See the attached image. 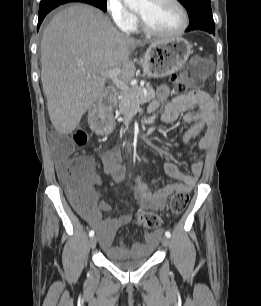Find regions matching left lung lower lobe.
Wrapping results in <instances>:
<instances>
[{
  "label": "left lung lower lobe",
  "mask_w": 261,
  "mask_h": 306,
  "mask_svg": "<svg viewBox=\"0 0 261 306\" xmlns=\"http://www.w3.org/2000/svg\"><path fill=\"white\" fill-rule=\"evenodd\" d=\"M191 30H204L215 35V26L207 24H201V23L190 24L189 27L186 29V31H191Z\"/></svg>",
  "instance_id": "0a47b994"
}]
</instances>
